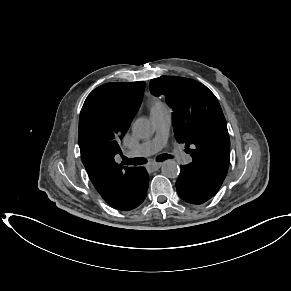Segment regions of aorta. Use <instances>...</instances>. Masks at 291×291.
I'll list each match as a JSON object with an SVG mask.
<instances>
[{"instance_id":"obj_1","label":"aorta","mask_w":291,"mask_h":291,"mask_svg":"<svg viewBox=\"0 0 291 291\" xmlns=\"http://www.w3.org/2000/svg\"><path fill=\"white\" fill-rule=\"evenodd\" d=\"M132 132L135 136L145 139L153 135L154 128L148 119L139 118L133 123ZM161 169L162 173L169 178H176L180 172L179 166L174 160L165 161Z\"/></svg>"}]
</instances>
